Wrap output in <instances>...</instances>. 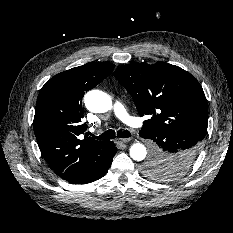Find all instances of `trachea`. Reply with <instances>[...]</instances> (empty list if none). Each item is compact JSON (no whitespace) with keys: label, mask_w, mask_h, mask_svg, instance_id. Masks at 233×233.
<instances>
[{"label":"trachea","mask_w":233,"mask_h":233,"mask_svg":"<svg viewBox=\"0 0 233 233\" xmlns=\"http://www.w3.org/2000/svg\"><path fill=\"white\" fill-rule=\"evenodd\" d=\"M116 135L119 138H128L131 136L128 130H123V129L118 130L117 133L114 130L109 129L99 136H95V135H92V136L97 140H110V139L115 138Z\"/></svg>","instance_id":"3493384b"}]
</instances>
